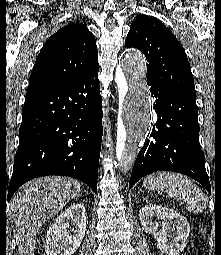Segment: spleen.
<instances>
[{
    "mask_svg": "<svg viewBox=\"0 0 221 255\" xmlns=\"http://www.w3.org/2000/svg\"><path fill=\"white\" fill-rule=\"evenodd\" d=\"M148 190H159L175 196L186 203L189 212L199 213L207 207V197L189 178L173 172L148 175L143 182Z\"/></svg>",
    "mask_w": 221,
    "mask_h": 255,
    "instance_id": "3e777b00",
    "label": "spleen"
}]
</instances>
